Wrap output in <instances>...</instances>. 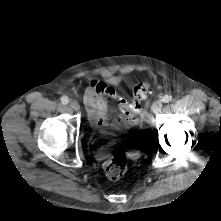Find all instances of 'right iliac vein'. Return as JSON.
I'll list each match as a JSON object with an SVG mask.
<instances>
[{
    "instance_id": "obj_1",
    "label": "right iliac vein",
    "mask_w": 221,
    "mask_h": 221,
    "mask_svg": "<svg viewBox=\"0 0 221 221\" xmlns=\"http://www.w3.org/2000/svg\"><path fill=\"white\" fill-rule=\"evenodd\" d=\"M69 105L75 111H78L80 109L79 103L77 101H75V100L70 101Z\"/></svg>"
}]
</instances>
